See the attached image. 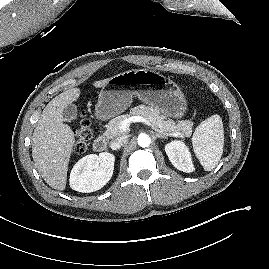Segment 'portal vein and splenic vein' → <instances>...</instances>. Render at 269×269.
Instances as JSON below:
<instances>
[{"label": "portal vein and splenic vein", "mask_w": 269, "mask_h": 269, "mask_svg": "<svg viewBox=\"0 0 269 269\" xmlns=\"http://www.w3.org/2000/svg\"><path fill=\"white\" fill-rule=\"evenodd\" d=\"M134 122H142V123H144L147 126L151 127L152 129H154L155 131H157L160 134L171 135V136H174V137H180V136L183 135V133H181V132L166 133L163 130H160V129L156 128L152 123H150L148 120H146L142 116H132V117H129L128 119L123 120L119 125V129L121 131L126 132L129 129L130 124L134 123Z\"/></svg>", "instance_id": "18ae733b"}]
</instances>
